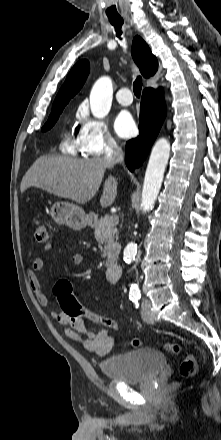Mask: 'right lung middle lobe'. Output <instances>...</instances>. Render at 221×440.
<instances>
[{"label": "right lung middle lobe", "instance_id": "dd1d6c3e", "mask_svg": "<svg viewBox=\"0 0 221 440\" xmlns=\"http://www.w3.org/2000/svg\"><path fill=\"white\" fill-rule=\"evenodd\" d=\"M63 109H64V106H60V107L52 109V112L48 118V121L43 126L42 131L49 130L56 123V121L58 120L59 115L62 113Z\"/></svg>", "mask_w": 221, "mask_h": 440}]
</instances>
